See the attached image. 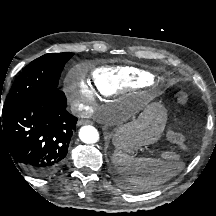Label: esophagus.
Returning <instances> with one entry per match:
<instances>
[{
  "label": "esophagus",
  "mask_w": 216,
  "mask_h": 216,
  "mask_svg": "<svg viewBox=\"0 0 216 216\" xmlns=\"http://www.w3.org/2000/svg\"><path fill=\"white\" fill-rule=\"evenodd\" d=\"M92 121H90V120H79L78 122H77V125L78 126H80V125H84V124H89V123H91Z\"/></svg>",
  "instance_id": "obj_1"
}]
</instances>
